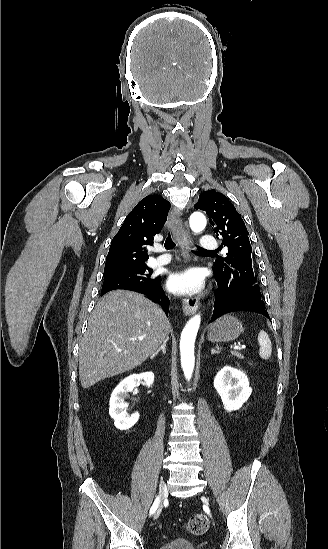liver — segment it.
<instances>
[{"label":"liver","mask_w":328,"mask_h":549,"mask_svg":"<svg viewBox=\"0 0 328 549\" xmlns=\"http://www.w3.org/2000/svg\"><path fill=\"white\" fill-rule=\"evenodd\" d=\"M170 331L164 311L144 295L133 291L104 295L92 311L80 343L83 389L135 369L168 341ZM138 337H144L143 341Z\"/></svg>","instance_id":"obj_1"}]
</instances>
